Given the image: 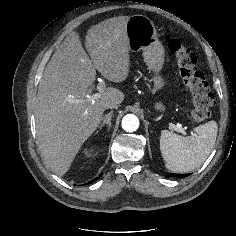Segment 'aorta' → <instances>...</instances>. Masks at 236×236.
I'll list each match as a JSON object with an SVG mask.
<instances>
[{"mask_svg": "<svg viewBox=\"0 0 236 236\" xmlns=\"http://www.w3.org/2000/svg\"><path fill=\"white\" fill-rule=\"evenodd\" d=\"M139 127V119L134 114H127L122 119V128L126 132H134Z\"/></svg>", "mask_w": 236, "mask_h": 236, "instance_id": "aorta-1", "label": "aorta"}]
</instances>
